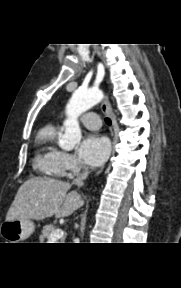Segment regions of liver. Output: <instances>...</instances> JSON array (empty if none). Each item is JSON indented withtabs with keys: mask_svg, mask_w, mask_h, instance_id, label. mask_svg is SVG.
<instances>
[{
	"mask_svg": "<svg viewBox=\"0 0 181 288\" xmlns=\"http://www.w3.org/2000/svg\"><path fill=\"white\" fill-rule=\"evenodd\" d=\"M68 182L47 177H33L25 181L17 191L9 208L6 221L16 219L43 220L55 215L68 217L83 206L84 200L76 191H68Z\"/></svg>",
	"mask_w": 181,
	"mask_h": 288,
	"instance_id": "1",
	"label": "liver"
}]
</instances>
